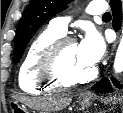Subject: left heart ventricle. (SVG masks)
<instances>
[{"instance_id":"b2bd125f","label":"left heart ventricle","mask_w":123,"mask_h":113,"mask_svg":"<svg viewBox=\"0 0 123 113\" xmlns=\"http://www.w3.org/2000/svg\"><path fill=\"white\" fill-rule=\"evenodd\" d=\"M62 68L70 78H81L90 73L93 67L87 65L79 56L78 45L66 47L62 57Z\"/></svg>"}]
</instances>
